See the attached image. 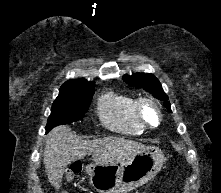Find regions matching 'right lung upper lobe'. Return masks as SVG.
I'll return each instance as SVG.
<instances>
[{
    "label": "right lung upper lobe",
    "mask_w": 221,
    "mask_h": 193,
    "mask_svg": "<svg viewBox=\"0 0 221 193\" xmlns=\"http://www.w3.org/2000/svg\"><path fill=\"white\" fill-rule=\"evenodd\" d=\"M94 85L93 83L84 81V80H68L65 82L60 90L70 89V88H85Z\"/></svg>",
    "instance_id": "1"
}]
</instances>
